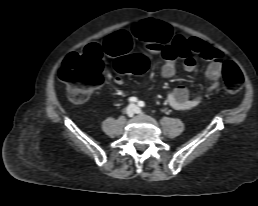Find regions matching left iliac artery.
I'll return each mask as SVG.
<instances>
[{"mask_svg":"<svg viewBox=\"0 0 258 206\" xmlns=\"http://www.w3.org/2000/svg\"><path fill=\"white\" fill-rule=\"evenodd\" d=\"M138 105H139L140 107H144V106H145V103H144L143 101H139V102H138Z\"/></svg>","mask_w":258,"mask_h":206,"instance_id":"obj_1","label":"left iliac artery"}]
</instances>
